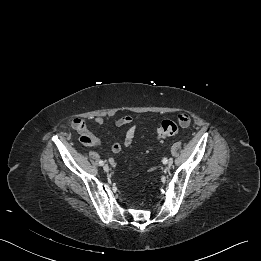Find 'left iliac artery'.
Instances as JSON below:
<instances>
[{
    "instance_id": "1",
    "label": "left iliac artery",
    "mask_w": 261,
    "mask_h": 261,
    "mask_svg": "<svg viewBox=\"0 0 261 261\" xmlns=\"http://www.w3.org/2000/svg\"><path fill=\"white\" fill-rule=\"evenodd\" d=\"M169 160L173 163V159H172V158H170ZM167 161H168L167 158H163V160H162V162H163L164 164H166Z\"/></svg>"
}]
</instances>
